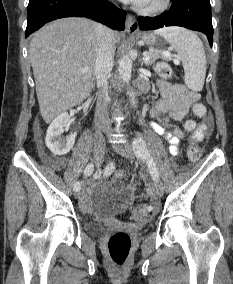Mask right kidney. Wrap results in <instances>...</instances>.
<instances>
[{"label":"right kidney","mask_w":233,"mask_h":284,"mask_svg":"<svg viewBox=\"0 0 233 284\" xmlns=\"http://www.w3.org/2000/svg\"><path fill=\"white\" fill-rule=\"evenodd\" d=\"M70 124V116L64 112L58 115L47 130L45 143L54 155H66L75 143L76 133H71L66 138L62 137L65 127Z\"/></svg>","instance_id":"ca27d5eb"}]
</instances>
